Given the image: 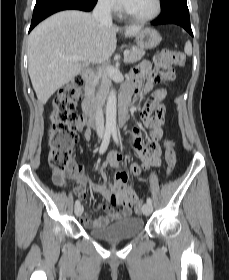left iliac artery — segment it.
I'll return each instance as SVG.
<instances>
[{"mask_svg":"<svg viewBox=\"0 0 229 280\" xmlns=\"http://www.w3.org/2000/svg\"><path fill=\"white\" fill-rule=\"evenodd\" d=\"M112 135H113L114 142L118 145L119 144V140H118L116 129L112 130ZM147 203L148 204H152V199L150 197L147 198Z\"/></svg>","mask_w":229,"mask_h":280,"instance_id":"1","label":"left iliac artery"}]
</instances>
